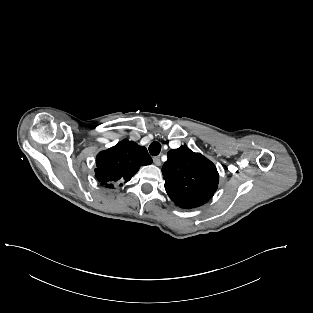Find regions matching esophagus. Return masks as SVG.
<instances>
[{"mask_svg":"<svg viewBox=\"0 0 313 313\" xmlns=\"http://www.w3.org/2000/svg\"><path fill=\"white\" fill-rule=\"evenodd\" d=\"M153 162L155 165L160 166L161 165V160L159 156L153 157Z\"/></svg>","mask_w":313,"mask_h":313,"instance_id":"esophagus-1","label":"esophagus"}]
</instances>
